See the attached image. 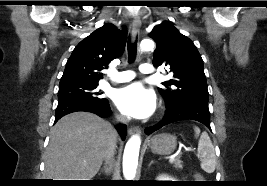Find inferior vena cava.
<instances>
[{"label":"inferior vena cava","instance_id":"602c4592","mask_svg":"<svg viewBox=\"0 0 267 186\" xmlns=\"http://www.w3.org/2000/svg\"><path fill=\"white\" fill-rule=\"evenodd\" d=\"M116 121L120 123H128L129 119L125 116L118 115L116 116ZM116 132L113 131V134L111 138L108 141L107 148L105 150L104 158L106 160V164L113 161V157L115 154V148H116Z\"/></svg>","mask_w":267,"mask_h":186}]
</instances>
